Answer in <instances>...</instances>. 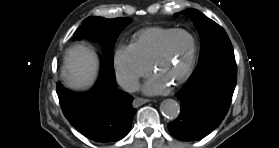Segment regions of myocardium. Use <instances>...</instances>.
<instances>
[{
    "label": "myocardium",
    "mask_w": 279,
    "mask_h": 148,
    "mask_svg": "<svg viewBox=\"0 0 279 148\" xmlns=\"http://www.w3.org/2000/svg\"><path fill=\"white\" fill-rule=\"evenodd\" d=\"M178 34L188 35L192 41V48H191V52L189 55V59L185 65V67L183 68V70L181 71L179 76L175 79V81L173 82L174 85L183 83L190 76V74L193 70L195 61H196L197 41H196L195 36L190 31H188L186 29H175L172 32H170L163 40L162 45L160 46L157 54L155 55V57L151 63V71L155 72L157 66L167 55L168 46H169L170 41L172 40V38L175 35H178Z\"/></svg>",
    "instance_id": "myocardium-1"
}]
</instances>
